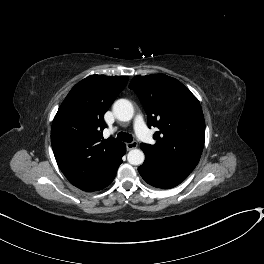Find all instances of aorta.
<instances>
[{
	"label": "aorta",
	"mask_w": 264,
	"mask_h": 264,
	"mask_svg": "<svg viewBox=\"0 0 264 264\" xmlns=\"http://www.w3.org/2000/svg\"><path fill=\"white\" fill-rule=\"evenodd\" d=\"M113 113L120 121H130L134 115L132 103L127 99H119L113 104ZM145 155L139 149H132L127 155V160L131 165H141L144 162Z\"/></svg>",
	"instance_id": "aorta-1"
}]
</instances>
